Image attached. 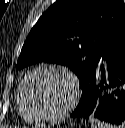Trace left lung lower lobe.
Segmentation results:
<instances>
[{
    "mask_svg": "<svg viewBox=\"0 0 125 128\" xmlns=\"http://www.w3.org/2000/svg\"><path fill=\"white\" fill-rule=\"evenodd\" d=\"M82 90L71 117H95L125 127V28L107 46Z\"/></svg>",
    "mask_w": 125,
    "mask_h": 128,
    "instance_id": "0a47b994",
    "label": "left lung lower lobe"
}]
</instances>
